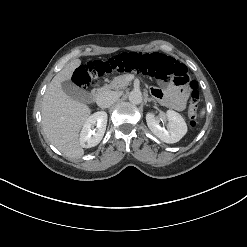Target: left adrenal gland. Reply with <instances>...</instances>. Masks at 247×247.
<instances>
[{"label": "left adrenal gland", "instance_id": "a2214340", "mask_svg": "<svg viewBox=\"0 0 247 247\" xmlns=\"http://www.w3.org/2000/svg\"><path fill=\"white\" fill-rule=\"evenodd\" d=\"M147 101H148V102L153 101V102L156 104V101H155L153 98H147Z\"/></svg>", "mask_w": 247, "mask_h": 247}]
</instances>
